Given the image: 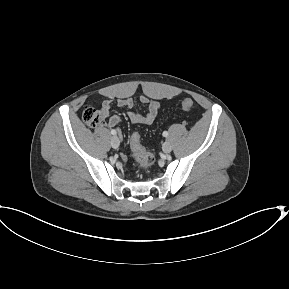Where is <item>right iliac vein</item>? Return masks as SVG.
<instances>
[{
	"label": "right iliac vein",
	"instance_id": "obj_1",
	"mask_svg": "<svg viewBox=\"0 0 289 289\" xmlns=\"http://www.w3.org/2000/svg\"><path fill=\"white\" fill-rule=\"evenodd\" d=\"M119 145H120V141H119L118 137H117V136H113V137L111 138V146H112L114 149H116V148L119 147Z\"/></svg>",
	"mask_w": 289,
	"mask_h": 289
}]
</instances>
